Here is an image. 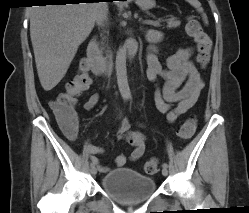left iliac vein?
<instances>
[{"instance_id":"4c4485c4","label":"left iliac vein","mask_w":249,"mask_h":213,"mask_svg":"<svg viewBox=\"0 0 249 213\" xmlns=\"http://www.w3.org/2000/svg\"><path fill=\"white\" fill-rule=\"evenodd\" d=\"M162 174H163V176H167L168 175V169L163 167Z\"/></svg>"}]
</instances>
